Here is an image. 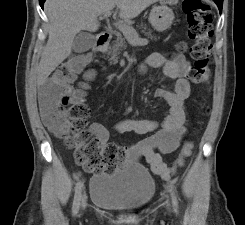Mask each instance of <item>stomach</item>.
I'll return each mask as SVG.
<instances>
[{
  "label": "stomach",
  "mask_w": 245,
  "mask_h": 225,
  "mask_svg": "<svg viewBox=\"0 0 245 225\" xmlns=\"http://www.w3.org/2000/svg\"><path fill=\"white\" fill-rule=\"evenodd\" d=\"M173 10L165 4L154 6L149 14V23L158 31L169 29L174 21Z\"/></svg>",
  "instance_id": "0dacf381"
}]
</instances>
